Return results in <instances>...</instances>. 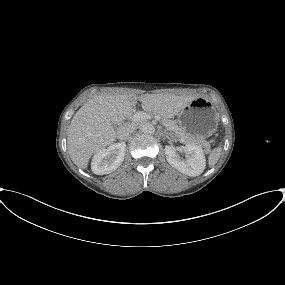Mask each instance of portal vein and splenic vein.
Here are the masks:
<instances>
[{"mask_svg": "<svg viewBox=\"0 0 285 285\" xmlns=\"http://www.w3.org/2000/svg\"><path fill=\"white\" fill-rule=\"evenodd\" d=\"M149 118H150V115L145 112H136L135 114H133L131 119L132 121L137 122V121L149 119Z\"/></svg>", "mask_w": 285, "mask_h": 285, "instance_id": "18ae733b", "label": "portal vein and splenic vein"}]
</instances>
